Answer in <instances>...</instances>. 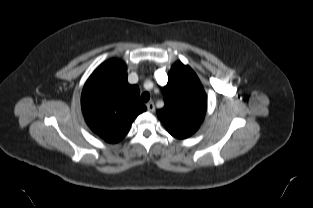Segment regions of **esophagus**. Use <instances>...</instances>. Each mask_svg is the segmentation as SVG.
Listing matches in <instances>:
<instances>
[{"instance_id": "1", "label": "esophagus", "mask_w": 313, "mask_h": 208, "mask_svg": "<svg viewBox=\"0 0 313 208\" xmlns=\"http://www.w3.org/2000/svg\"><path fill=\"white\" fill-rule=\"evenodd\" d=\"M146 106H147L148 111H150V112H154L155 111V105H154L153 102H148L146 104Z\"/></svg>"}]
</instances>
